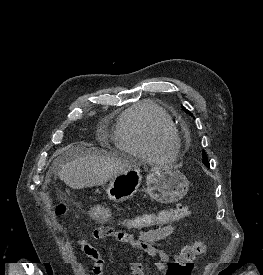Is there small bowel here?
Here are the masks:
<instances>
[{
    "label": "small bowel",
    "mask_w": 263,
    "mask_h": 275,
    "mask_svg": "<svg viewBox=\"0 0 263 275\" xmlns=\"http://www.w3.org/2000/svg\"><path fill=\"white\" fill-rule=\"evenodd\" d=\"M118 232H122L127 239L119 240L117 238ZM175 232V226L173 224L158 225L148 230L141 231L137 237L113 229L111 227H98L93 233L92 237L96 240L106 237H112L117 241L127 244V249L132 250L135 253V261L130 264L131 275H145L144 272V259L149 257L153 261V265L160 273V275H171L169 273V266L172 258L161 248L156 246V243L165 240ZM78 245L81 251L93 261L92 275H103L104 272V260L101 257L99 251L91 245L84 238L78 239ZM125 250L119 252L123 253ZM193 268L187 273L192 275Z\"/></svg>",
    "instance_id": "small-bowel-1"
}]
</instances>
